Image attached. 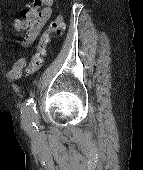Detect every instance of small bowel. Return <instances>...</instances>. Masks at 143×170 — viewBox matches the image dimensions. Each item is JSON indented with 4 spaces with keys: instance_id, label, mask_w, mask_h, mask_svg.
Wrapping results in <instances>:
<instances>
[{
    "instance_id": "obj_1",
    "label": "small bowel",
    "mask_w": 143,
    "mask_h": 170,
    "mask_svg": "<svg viewBox=\"0 0 143 170\" xmlns=\"http://www.w3.org/2000/svg\"><path fill=\"white\" fill-rule=\"evenodd\" d=\"M41 2L44 4V7L41 10H37L36 17L33 20V22L27 26V27H20L18 26L21 21L20 18L14 20V28L17 30H26L27 29V35L24 41L25 45H28L32 43L45 23L48 21L52 14V5L54 0H41ZM26 66V60L25 58H19L11 67V69L8 72V77L11 80H17L21 78L22 76V70Z\"/></svg>"
}]
</instances>
